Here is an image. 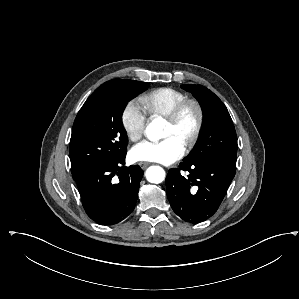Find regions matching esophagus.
<instances>
[{"label":"esophagus","mask_w":299,"mask_h":299,"mask_svg":"<svg viewBox=\"0 0 299 299\" xmlns=\"http://www.w3.org/2000/svg\"><path fill=\"white\" fill-rule=\"evenodd\" d=\"M138 165L141 167V169H145L147 166H149L148 162H139Z\"/></svg>","instance_id":"obj_1"}]
</instances>
